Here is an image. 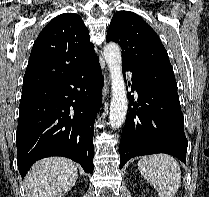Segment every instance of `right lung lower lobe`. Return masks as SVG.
<instances>
[{
	"instance_id": "98d812e1",
	"label": "right lung lower lobe",
	"mask_w": 209,
	"mask_h": 197,
	"mask_svg": "<svg viewBox=\"0 0 209 197\" xmlns=\"http://www.w3.org/2000/svg\"><path fill=\"white\" fill-rule=\"evenodd\" d=\"M98 58L68 77L22 93L17 128V164L22 177L39 159L63 156L93 172L94 122L102 104Z\"/></svg>"
}]
</instances>
